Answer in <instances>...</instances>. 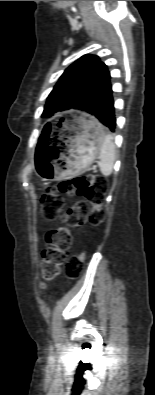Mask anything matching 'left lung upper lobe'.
I'll list each match as a JSON object with an SVG mask.
<instances>
[{
    "instance_id": "5c2ea615",
    "label": "left lung upper lobe",
    "mask_w": 155,
    "mask_h": 395,
    "mask_svg": "<svg viewBox=\"0 0 155 395\" xmlns=\"http://www.w3.org/2000/svg\"><path fill=\"white\" fill-rule=\"evenodd\" d=\"M110 76L107 66L96 55H84L61 75L49 94L42 116L80 109L82 101Z\"/></svg>"
}]
</instances>
